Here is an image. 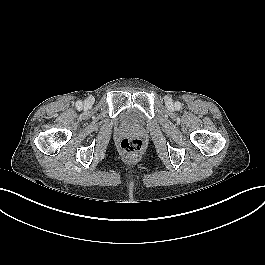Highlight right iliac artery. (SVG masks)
I'll list each match as a JSON object with an SVG mask.
<instances>
[{"mask_svg": "<svg viewBox=\"0 0 265 265\" xmlns=\"http://www.w3.org/2000/svg\"><path fill=\"white\" fill-rule=\"evenodd\" d=\"M76 106H77L78 108H81V107H82V102H81V101H77V102H76Z\"/></svg>", "mask_w": 265, "mask_h": 265, "instance_id": "right-iliac-artery-1", "label": "right iliac artery"}]
</instances>
